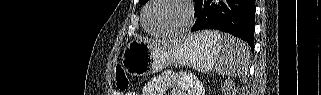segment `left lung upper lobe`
I'll list each match as a JSON object with an SVG mask.
<instances>
[{
	"label": "left lung upper lobe",
	"instance_id": "5c2ea615",
	"mask_svg": "<svg viewBox=\"0 0 321 95\" xmlns=\"http://www.w3.org/2000/svg\"><path fill=\"white\" fill-rule=\"evenodd\" d=\"M147 1H148V0H139V3H140L141 5H143V4H145Z\"/></svg>",
	"mask_w": 321,
	"mask_h": 95
}]
</instances>
